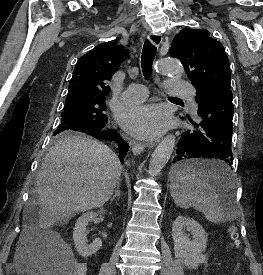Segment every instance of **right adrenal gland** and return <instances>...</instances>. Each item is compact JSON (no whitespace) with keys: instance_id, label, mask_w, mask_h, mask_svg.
<instances>
[{"instance_id":"2a0ac1e0","label":"right adrenal gland","mask_w":263,"mask_h":275,"mask_svg":"<svg viewBox=\"0 0 263 275\" xmlns=\"http://www.w3.org/2000/svg\"><path fill=\"white\" fill-rule=\"evenodd\" d=\"M119 188H120V182L117 184V188L115 190V193H114V195L110 199L111 202L114 201V199L116 197H120V190H119Z\"/></svg>"}]
</instances>
